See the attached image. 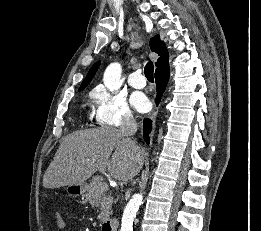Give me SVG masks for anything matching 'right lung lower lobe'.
Instances as JSON below:
<instances>
[{"mask_svg":"<svg viewBox=\"0 0 261 231\" xmlns=\"http://www.w3.org/2000/svg\"><path fill=\"white\" fill-rule=\"evenodd\" d=\"M155 79H156V88H157V94H158V98H156V102L158 104L160 102L162 94L165 91V88H166L168 80H169V65L156 71ZM151 129H152V121L150 119H144L143 136H144V140L146 141L147 144H149V139H150L149 133H150Z\"/></svg>","mask_w":261,"mask_h":231,"instance_id":"right-lung-lower-lobe-1","label":"right lung lower lobe"}]
</instances>
